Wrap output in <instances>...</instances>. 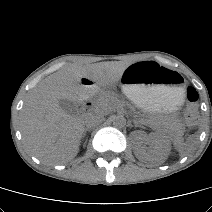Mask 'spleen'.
Wrapping results in <instances>:
<instances>
[{"label":"spleen","mask_w":212,"mask_h":212,"mask_svg":"<svg viewBox=\"0 0 212 212\" xmlns=\"http://www.w3.org/2000/svg\"><path fill=\"white\" fill-rule=\"evenodd\" d=\"M174 145L177 149L184 150L186 144L182 143L181 140L176 139V140H174Z\"/></svg>","instance_id":"spleen-1"}]
</instances>
